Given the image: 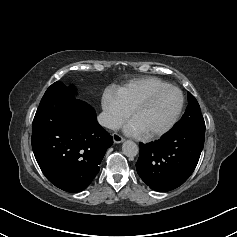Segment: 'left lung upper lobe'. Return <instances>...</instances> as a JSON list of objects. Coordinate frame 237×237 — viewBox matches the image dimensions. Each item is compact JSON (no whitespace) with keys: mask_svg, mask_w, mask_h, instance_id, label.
I'll use <instances>...</instances> for the list:
<instances>
[{"mask_svg":"<svg viewBox=\"0 0 237 237\" xmlns=\"http://www.w3.org/2000/svg\"><path fill=\"white\" fill-rule=\"evenodd\" d=\"M188 103L186 112L172 130L205 129V122L200 111V106L190 92H188Z\"/></svg>","mask_w":237,"mask_h":237,"instance_id":"5c2ea615","label":"left lung upper lobe"}]
</instances>
